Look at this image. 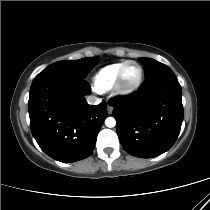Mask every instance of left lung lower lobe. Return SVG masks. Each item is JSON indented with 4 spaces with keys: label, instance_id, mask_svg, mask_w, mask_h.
I'll return each instance as SVG.
<instances>
[{
    "label": "left lung lower lobe",
    "instance_id": "left-lung-lower-lobe-1",
    "mask_svg": "<svg viewBox=\"0 0 210 210\" xmlns=\"http://www.w3.org/2000/svg\"><path fill=\"white\" fill-rule=\"evenodd\" d=\"M114 107L117 134L131 155L151 158L169 150L183 121L182 90L170 68L146 78L140 89L126 97H116Z\"/></svg>",
    "mask_w": 210,
    "mask_h": 210
}]
</instances>
